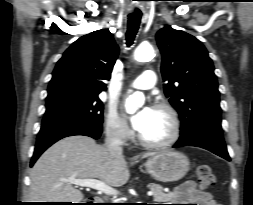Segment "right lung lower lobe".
Here are the masks:
<instances>
[{
    "mask_svg": "<svg viewBox=\"0 0 253 205\" xmlns=\"http://www.w3.org/2000/svg\"><path fill=\"white\" fill-rule=\"evenodd\" d=\"M102 133L101 127L73 122H56L42 124L37 137L35 151L31 160V166L38 157L53 143L61 138L73 135H84L98 139Z\"/></svg>",
    "mask_w": 253,
    "mask_h": 205,
    "instance_id": "obj_1",
    "label": "right lung lower lobe"
}]
</instances>
